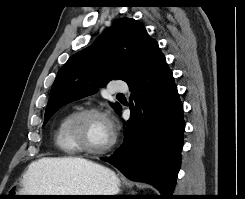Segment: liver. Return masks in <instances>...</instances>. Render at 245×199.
Wrapping results in <instances>:
<instances>
[{"label": "liver", "mask_w": 245, "mask_h": 199, "mask_svg": "<svg viewBox=\"0 0 245 199\" xmlns=\"http://www.w3.org/2000/svg\"><path fill=\"white\" fill-rule=\"evenodd\" d=\"M91 165L94 163L78 157L42 158L29 165L23 176V183L28 189L37 191L42 188V183L47 175L66 173L75 166Z\"/></svg>", "instance_id": "1"}]
</instances>
